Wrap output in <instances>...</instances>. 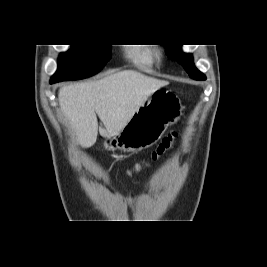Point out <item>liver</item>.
I'll return each mask as SVG.
<instances>
[{"label":"liver","instance_id":"obj_1","mask_svg":"<svg viewBox=\"0 0 267 267\" xmlns=\"http://www.w3.org/2000/svg\"><path fill=\"white\" fill-rule=\"evenodd\" d=\"M166 85L167 81L124 70L96 81L63 86L58 98L76 132L77 142L88 148L95 144L98 135L96 114L104 124L100 135L114 136L153 92Z\"/></svg>","mask_w":267,"mask_h":267}]
</instances>
